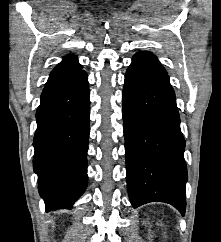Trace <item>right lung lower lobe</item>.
<instances>
[{"label":"right lung lower lobe","mask_w":221,"mask_h":242,"mask_svg":"<svg viewBox=\"0 0 221 242\" xmlns=\"http://www.w3.org/2000/svg\"><path fill=\"white\" fill-rule=\"evenodd\" d=\"M89 116L85 71L45 85L36 113L33 164L47 211L70 208L87 187Z\"/></svg>","instance_id":"1"}]
</instances>
